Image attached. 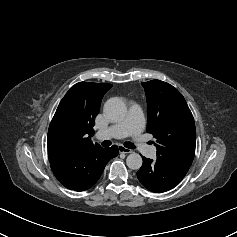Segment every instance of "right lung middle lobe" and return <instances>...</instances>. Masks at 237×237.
Segmentation results:
<instances>
[{
	"label": "right lung middle lobe",
	"mask_w": 237,
	"mask_h": 237,
	"mask_svg": "<svg viewBox=\"0 0 237 237\" xmlns=\"http://www.w3.org/2000/svg\"><path fill=\"white\" fill-rule=\"evenodd\" d=\"M51 144H57V140L55 138L51 139Z\"/></svg>",
	"instance_id": "obj_1"
}]
</instances>
